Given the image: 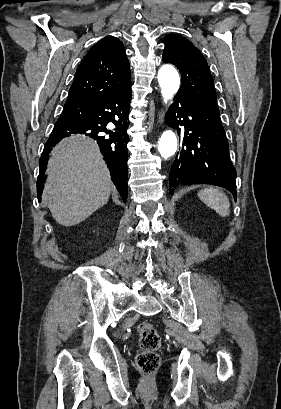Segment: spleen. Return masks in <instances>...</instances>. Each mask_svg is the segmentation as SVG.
<instances>
[{"instance_id": "spleen-1", "label": "spleen", "mask_w": 281, "mask_h": 409, "mask_svg": "<svg viewBox=\"0 0 281 409\" xmlns=\"http://www.w3.org/2000/svg\"><path fill=\"white\" fill-rule=\"evenodd\" d=\"M198 196L207 207L216 211L220 217H228L230 202L225 192H221L218 188H203V190H199Z\"/></svg>"}]
</instances>
